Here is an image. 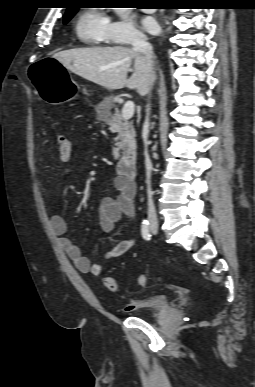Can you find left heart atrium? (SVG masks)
<instances>
[{
	"mask_svg": "<svg viewBox=\"0 0 255 387\" xmlns=\"http://www.w3.org/2000/svg\"><path fill=\"white\" fill-rule=\"evenodd\" d=\"M142 23L145 30L149 33H156L159 29L157 22L152 17L144 18Z\"/></svg>",
	"mask_w": 255,
	"mask_h": 387,
	"instance_id": "obj_1",
	"label": "left heart atrium"
}]
</instances>
